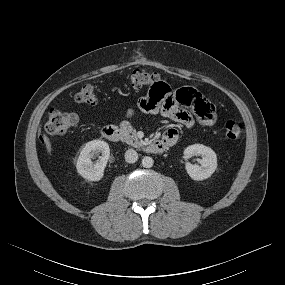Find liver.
Returning <instances> with one entry per match:
<instances>
[{
    "label": "liver",
    "instance_id": "6515ba94",
    "mask_svg": "<svg viewBox=\"0 0 285 285\" xmlns=\"http://www.w3.org/2000/svg\"><path fill=\"white\" fill-rule=\"evenodd\" d=\"M43 139H44V142H45V145H46L48 153L51 154L52 145H51V142L49 141V138L44 134L43 135Z\"/></svg>",
    "mask_w": 285,
    "mask_h": 285
}]
</instances>
